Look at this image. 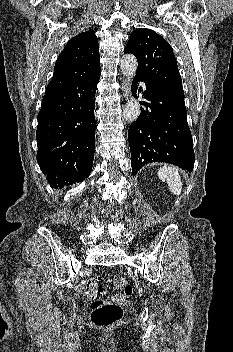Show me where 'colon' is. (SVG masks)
Wrapping results in <instances>:
<instances>
[{
	"label": "colon",
	"mask_w": 233,
	"mask_h": 352,
	"mask_svg": "<svg viewBox=\"0 0 233 352\" xmlns=\"http://www.w3.org/2000/svg\"><path fill=\"white\" fill-rule=\"evenodd\" d=\"M100 277H91L85 283V293L91 300L90 319L101 327L115 325L123 316V309L115 303L107 302L102 297L105 290L99 285ZM114 287L125 295L132 293V287L125 278H116Z\"/></svg>",
	"instance_id": "obj_1"
}]
</instances>
